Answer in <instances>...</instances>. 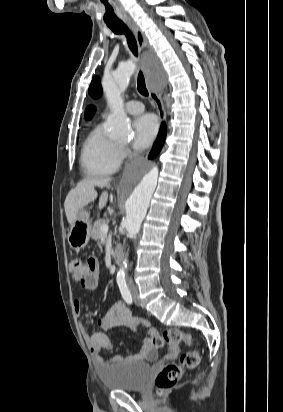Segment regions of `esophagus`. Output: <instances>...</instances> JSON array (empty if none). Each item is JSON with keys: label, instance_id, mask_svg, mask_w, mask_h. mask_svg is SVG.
<instances>
[{"label": "esophagus", "instance_id": "obj_1", "mask_svg": "<svg viewBox=\"0 0 283 412\" xmlns=\"http://www.w3.org/2000/svg\"><path fill=\"white\" fill-rule=\"evenodd\" d=\"M126 23L133 31L136 41L138 44L139 52H143L144 49L147 47V39L141 29L137 26V24L132 20H127ZM150 64V61L146 60L144 57H141V65L143 70H146L147 65ZM146 84L147 89L149 91L150 97L156 106L157 113L161 122L166 120V111L162 100V88L161 86L153 87V79L150 77H146Z\"/></svg>", "mask_w": 283, "mask_h": 412}]
</instances>
